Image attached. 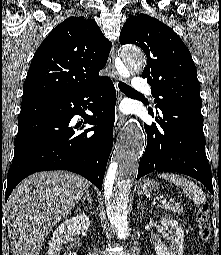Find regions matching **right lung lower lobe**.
Returning a JSON list of instances; mask_svg holds the SVG:
<instances>
[{
	"instance_id": "obj_1",
	"label": "right lung lower lobe",
	"mask_w": 221,
	"mask_h": 255,
	"mask_svg": "<svg viewBox=\"0 0 221 255\" xmlns=\"http://www.w3.org/2000/svg\"><path fill=\"white\" fill-rule=\"evenodd\" d=\"M115 99L114 85L104 77L69 94L22 103L5 200L25 177L47 170L78 173L101 190L113 143ZM74 115L84 117L83 124L97 126L77 130L81 123L71 126Z\"/></svg>"
}]
</instances>
